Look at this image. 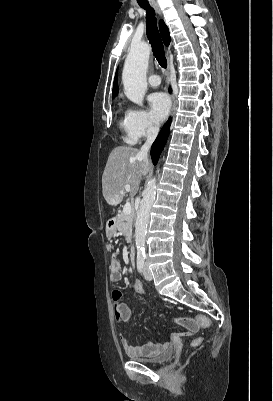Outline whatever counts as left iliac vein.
I'll return each mask as SVG.
<instances>
[{"label":"left iliac vein","mask_w":273,"mask_h":401,"mask_svg":"<svg viewBox=\"0 0 273 401\" xmlns=\"http://www.w3.org/2000/svg\"><path fill=\"white\" fill-rule=\"evenodd\" d=\"M144 277L146 280H152V274L150 272V269L148 268L147 263H145L144 265Z\"/></svg>","instance_id":"obj_1"}]
</instances>
